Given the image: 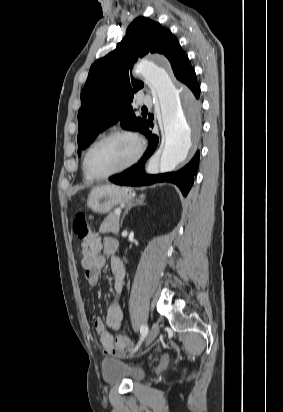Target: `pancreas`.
<instances>
[{"instance_id": "pancreas-1", "label": "pancreas", "mask_w": 283, "mask_h": 412, "mask_svg": "<svg viewBox=\"0 0 283 412\" xmlns=\"http://www.w3.org/2000/svg\"><path fill=\"white\" fill-rule=\"evenodd\" d=\"M119 215L115 212L111 213L109 216L105 218V220L101 223L99 232L100 233H119Z\"/></svg>"}]
</instances>
